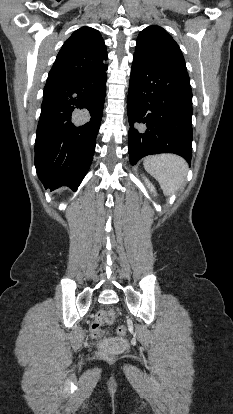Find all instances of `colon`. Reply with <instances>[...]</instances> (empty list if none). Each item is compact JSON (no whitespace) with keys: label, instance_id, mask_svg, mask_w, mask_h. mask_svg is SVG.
I'll return each instance as SVG.
<instances>
[{"label":"colon","instance_id":"1","mask_svg":"<svg viewBox=\"0 0 233 414\" xmlns=\"http://www.w3.org/2000/svg\"><path fill=\"white\" fill-rule=\"evenodd\" d=\"M113 311L109 310H102L99 311L91 323L90 326V333L94 339H99L103 336V331L101 329L103 323H110L113 318ZM116 332L119 336H124L127 333V327L125 325H120L117 327ZM105 355V354H102Z\"/></svg>","mask_w":233,"mask_h":414}]
</instances>
